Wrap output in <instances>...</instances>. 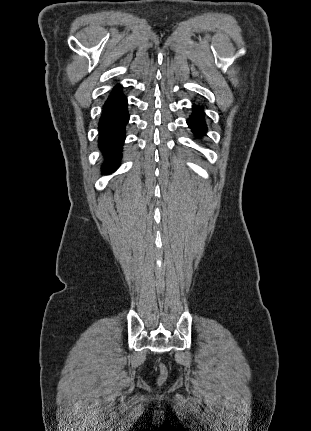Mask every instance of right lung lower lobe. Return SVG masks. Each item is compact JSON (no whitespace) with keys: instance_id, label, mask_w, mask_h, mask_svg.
I'll return each instance as SVG.
<instances>
[{"instance_id":"1","label":"right lung lower lobe","mask_w":311,"mask_h":431,"mask_svg":"<svg viewBox=\"0 0 311 431\" xmlns=\"http://www.w3.org/2000/svg\"><path fill=\"white\" fill-rule=\"evenodd\" d=\"M129 120L127 99L117 85L108 100L99 122V147L106 155L103 171L109 173L119 166L120 150L125 139V125Z\"/></svg>"}]
</instances>
